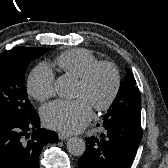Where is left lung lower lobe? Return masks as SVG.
Returning <instances> with one entry per match:
<instances>
[{"mask_svg": "<svg viewBox=\"0 0 168 168\" xmlns=\"http://www.w3.org/2000/svg\"><path fill=\"white\" fill-rule=\"evenodd\" d=\"M141 139L140 112L105 115L101 137L86 138L79 168H129Z\"/></svg>", "mask_w": 168, "mask_h": 168, "instance_id": "obj_1", "label": "left lung lower lobe"}]
</instances>
